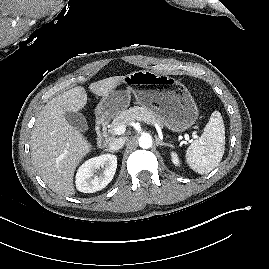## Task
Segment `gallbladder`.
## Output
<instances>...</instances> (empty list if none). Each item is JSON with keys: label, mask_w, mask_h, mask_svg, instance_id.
<instances>
[{"label": "gallbladder", "mask_w": 269, "mask_h": 269, "mask_svg": "<svg viewBox=\"0 0 269 269\" xmlns=\"http://www.w3.org/2000/svg\"><path fill=\"white\" fill-rule=\"evenodd\" d=\"M66 121L75 129L81 132H86L89 127L85 117L80 112H65Z\"/></svg>", "instance_id": "gallbladder-1"}]
</instances>
